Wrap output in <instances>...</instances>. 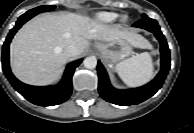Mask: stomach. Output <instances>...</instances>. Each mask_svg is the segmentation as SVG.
Returning <instances> with one entry per match:
<instances>
[{
	"label": "stomach",
	"mask_w": 194,
	"mask_h": 133,
	"mask_svg": "<svg viewBox=\"0 0 194 133\" xmlns=\"http://www.w3.org/2000/svg\"><path fill=\"white\" fill-rule=\"evenodd\" d=\"M94 47L108 63H116L132 54L131 44L126 40L96 42Z\"/></svg>",
	"instance_id": "obj_1"
}]
</instances>
